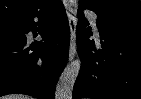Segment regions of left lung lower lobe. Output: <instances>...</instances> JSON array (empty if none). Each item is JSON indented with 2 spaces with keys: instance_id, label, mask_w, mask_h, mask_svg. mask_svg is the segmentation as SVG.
Masks as SVG:
<instances>
[{
  "instance_id": "left-lung-lower-lobe-1",
  "label": "left lung lower lobe",
  "mask_w": 141,
  "mask_h": 99,
  "mask_svg": "<svg viewBox=\"0 0 141 99\" xmlns=\"http://www.w3.org/2000/svg\"><path fill=\"white\" fill-rule=\"evenodd\" d=\"M78 8L77 50L82 65L73 99H141V25L119 24L97 16L101 48L89 40L91 32ZM90 30V29H89Z\"/></svg>"
}]
</instances>
